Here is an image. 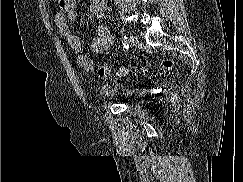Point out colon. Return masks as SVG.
I'll return each instance as SVG.
<instances>
[{
    "label": "colon",
    "mask_w": 243,
    "mask_h": 182,
    "mask_svg": "<svg viewBox=\"0 0 243 182\" xmlns=\"http://www.w3.org/2000/svg\"><path fill=\"white\" fill-rule=\"evenodd\" d=\"M173 63L170 59H163L161 61V66L164 69H170L172 67ZM112 75V72L110 70V68L106 65H102L99 67L98 69V76L102 79H108L110 78Z\"/></svg>",
    "instance_id": "1"
}]
</instances>
